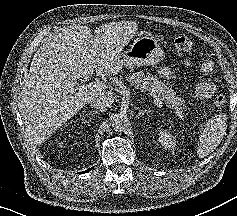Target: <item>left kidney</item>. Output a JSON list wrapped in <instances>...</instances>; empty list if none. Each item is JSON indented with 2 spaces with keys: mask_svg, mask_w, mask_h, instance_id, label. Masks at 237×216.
I'll use <instances>...</instances> for the list:
<instances>
[{
  "mask_svg": "<svg viewBox=\"0 0 237 216\" xmlns=\"http://www.w3.org/2000/svg\"><path fill=\"white\" fill-rule=\"evenodd\" d=\"M159 140L161 144L166 148H174V142L172 140V137H170L167 133L161 132L159 134Z\"/></svg>",
  "mask_w": 237,
  "mask_h": 216,
  "instance_id": "1",
  "label": "left kidney"
}]
</instances>
